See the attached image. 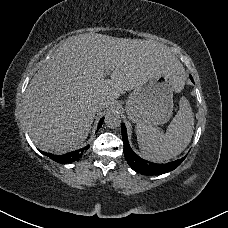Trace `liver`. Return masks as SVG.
<instances>
[{"label": "liver", "mask_w": 228, "mask_h": 228, "mask_svg": "<svg viewBox=\"0 0 228 228\" xmlns=\"http://www.w3.org/2000/svg\"><path fill=\"white\" fill-rule=\"evenodd\" d=\"M167 74L174 93L180 92L186 81L184 67L161 43L93 33L69 38L45 61L25 92L27 132L44 152L75 150L102 109L112 106L124 91ZM98 100L101 110L95 108Z\"/></svg>", "instance_id": "obj_1"}]
</instances>
